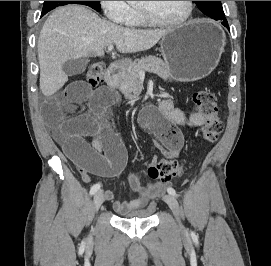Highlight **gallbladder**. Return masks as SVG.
Instances as JSON below:
<instances>
[{
  "label": "gallbladder",
  "mask_w": 271,
  "mask_h": 266,
  "mask_svg": "<svg viewBox=\"0 0 271 266\" xmlns=\"http://www.w3.org/2000/svg\"><path fill=\"white\" fill-rule=\"evenodd\" d=\"M89 63V59L86 57L75 58L71 57L63 65V70L68 76H74L82 74Z\"/></svg>",
  "instance_id": "gallbladder-1"
}]
</instances>
